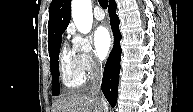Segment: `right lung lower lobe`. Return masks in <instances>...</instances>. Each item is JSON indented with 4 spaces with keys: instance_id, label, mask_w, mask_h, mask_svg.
<instances>
[{
    "instance_id": "98d812e1",
    "label": "right lung lower lobe",
    "mask_w": 193,
    "mask_h": 112,
    "mask_svg": "<svg viewBox=\"0 0 193 112\" xmlns=\"http://www.w3.org/2000/svg\"><path fill=\"white\" fill-rule=\"evenodd\" d=\"M117 5L114 0L109 3V16L112 31L114 34V48L110 53L107 63L104 68V75L102 81V91L112 107L116 105L117 101V90L119 81V71H120V39L121 34L119 32V18L116 15Z\"/></svg>"
}]
</instances>
